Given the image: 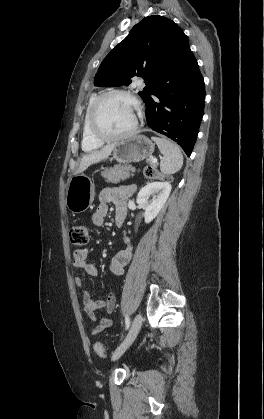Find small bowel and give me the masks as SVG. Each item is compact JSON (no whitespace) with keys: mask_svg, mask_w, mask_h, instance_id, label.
<instances>
[{"mask_svg":"<svg viewBox=\"0 0 264 419\" xmlns=\"http://www.w3.org/2000/svg\"><path fill=\"white\" fill-rule=\"evenodd\" d=\"M134 189L135 188L132 185L108 187L103 189L99 195L100 203L92 215L93 224L96 226H102L105 223V217L108 213L110 203L115 205L116 223L120 219L123 224L127 210V200L133 193ZM123 240L126 247L113 257L110 264L112 273L118 276L124 273L125 267L132 258L131 241L125 233ZM87 258L88 253L86 250H76L73 255V266L77 269L84 270L90 276L96 277L98 275V270L92 263L88 262ZM75 283L82 290L84 311L93 322L98 323L92 330V333L98 334L112 328V320L105 316H97L96 312L98 310H104L107 314H110L113 311L116 302V294L114 291L111 290L106 299H94L90 287L81 277L77 276L75 278Z\"/></svg>","mask_w":264,"mask_h":419,"instance_id":"1","label":"small bowel"}]
</instances>
